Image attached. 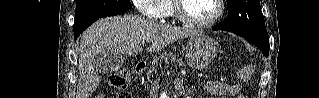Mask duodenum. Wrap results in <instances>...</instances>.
<instances>
[{"mask_svg":"<svg viewBox=\"0 0 319 98\" xmlns=\"http://www.w3.org/2000/svg\"><path fill=\"white\" fill-rule=\"evenodd\" d=\"M146 63L145 62H139L135 67V73L137 75H141L143 71L145 70Z\"/></svg>","mask_w":319,"mask_h":98,"instance_id":"obj_1","label":"duodenum"}]
</instances>
